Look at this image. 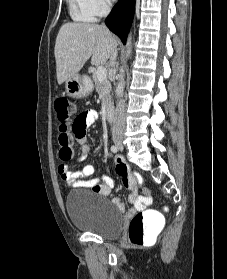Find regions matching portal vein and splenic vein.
I'll use <instances>...</instances> for the list:
<instances>
[{"label": "portal vein and splenic vein", "mask_w": 227, "mask_h": 279, "mask_svg": "<svg viewBox=\"0 0 227 279\" xmlns=\"http://www.w3.org/2000/svg\"><path fill=\"white\" fill-rule=\"evenodd\" d=\"M95 74L99 80H104L107 78V70L103 66H98L95 70Z\"/></svg>", "instance_id": "1"}]
</instances>
